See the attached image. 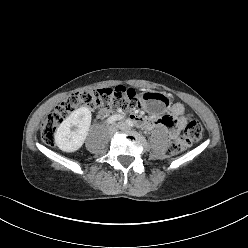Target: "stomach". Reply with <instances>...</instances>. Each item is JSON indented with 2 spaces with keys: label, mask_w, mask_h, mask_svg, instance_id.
I'll list each match as a JSON object with an SVG mask.
<instances>
[{
  "label": "stomach",
  "mask_w": 248,
  "mask_h": 248,
  "mask_svg": "<svg viewBox=\"0 0 248 248\" xmlns=\"http://www.w3.org/2000/svg\"><path fill=\"white\" fill-rule=\"evenodd\" d=\"M168 103L166 96H162L159 93H149L144 98V107L153 114L164 113L167 110Z\"/></svg>",
  "instance_id": "obj_1"
}]
</instances>
